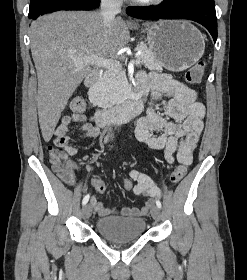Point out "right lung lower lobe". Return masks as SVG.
Segmentation results:
<instances>
[{
    "instance_id": "obj_1",
    "label": "right lung lower lobe",
    "mask_w": 247,
    "mask_h": 280,
    "mask_svg": "<svg viewBox=\"0 0 247 280\" xmlns=\"http://www.w3.org/2000/svg\"><path fill=\"white\" fill-rule=\"evenodd\" d=\"M100 0H44L36 8L29 10V19L34 20L38 16L51 11L68 9H93L98 7Z\"/></svg>"
}]
</instances>
